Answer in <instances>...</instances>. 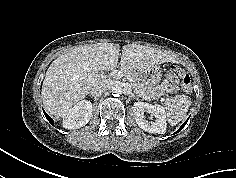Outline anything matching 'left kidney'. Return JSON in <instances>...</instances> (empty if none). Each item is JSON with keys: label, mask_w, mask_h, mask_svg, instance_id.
<instances>
[{"label": "left kidney", "mask_w": 236, "mask_h": 178, "mask_svg": "<svg viewBox=\"0 0 236 178\" xmlns=\"http://www.w3.org/2000/svg\"><path fill=\"white\" fill-rule=\"evenodd\" d=\"M133 112L136 123L146 132L163 134L166 132V112L161 105H151L146 102H135ZM145 112L152 114L156 120L149 122L145 119Z\"/></svg>", "instance_id": "left-kidney-1"}]
</instances>
